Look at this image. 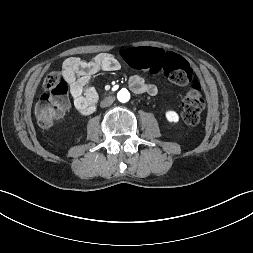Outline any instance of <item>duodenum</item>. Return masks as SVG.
<instances>
[{
	"instance_id": "duodenum-1",
	"label": "duodenum",
	"mask_w": 253,
	"mask_h": 253,
	"mask_svg": "<svg viewBox=\"0 0 253 253\" xmlns=\"http://www.w3.org/2000/svg\"><path fill=\"white\" fill-rule=\"evenodd\" d=\"M95 107H96L95 103L91 104V105L87 106L86 108H84L82 110V113H84V114H90V113H92L95 110Z\"/></svg>"
}]
</instances>
